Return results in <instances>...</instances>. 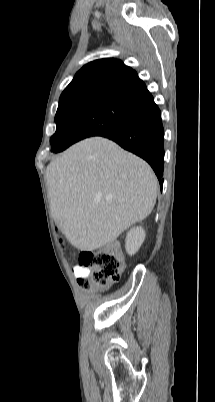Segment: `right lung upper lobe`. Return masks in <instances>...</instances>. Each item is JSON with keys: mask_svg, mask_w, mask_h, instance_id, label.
Listing matches in <instances>:
<instances>
[{"mask_svg": "<svg viewBox=\"0 0 215 402\" xmlns=\"http://www.w3.org/2000/svg\"><path fill=\"white\" fill-rule=\"evenodd\" d=\"M91 93L111 94L143 105L153 99L137 73L113 58L95 60L83 66L60 98Z\"/></svg>", "mask_w": 215, "mask_h": 402, "instance_id": "cb5924a9", "label": "right lung upper lobe"}]
</instances>
